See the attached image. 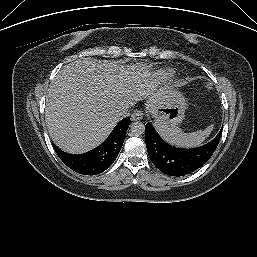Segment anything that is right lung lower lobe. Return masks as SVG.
<instances>
[{
  "mask_svg": "<svg viewBox=\"0 0 257 257\" xmlns=\"http://www.w3.org/2000/svg\"><path fill=\"white\" fill-rule=\"evenodd\" d=\"M130 123L129 117L122 119L101 145L83 154H68L54 144L53 147L63 163L73 171L84 175H97L109 168L118 156Z\"/></svg>",
  "mask_w": 257,
  "mask_h": 257,
  "instance_id": "1",
  "label": "right lung lower lobe"
}]
</instances>
